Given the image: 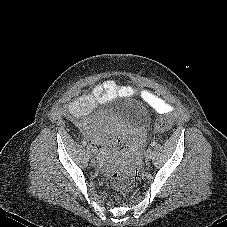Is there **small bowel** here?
I'll return each mask as SVG.
<instances>
[{
  "label": "small bowel",
  "instance_id": "obj_1",
  "mask_svg": "<svg viewBox=\"0 0 227 227\" xmlns=\"http://www.w3.org/2000/svg\"><path fill=\"white\" fill-rule=\"evenodd\" d=\"M136 91L130 86H120L114 80L108 79L95 85L90 91L81 94L65 107L66 111H77L78 113L89 110L96 102L112 99L115 97H130ZM141 98L147 102L158 114L172 113L173 106L155 95L154 93L143 90ZM90 145L98 155H114L117 153L120 143L113 137L91 136Z\"/></svg>",
  "mask_w": 227,
  "mask_h": 227
}]
</instances>
